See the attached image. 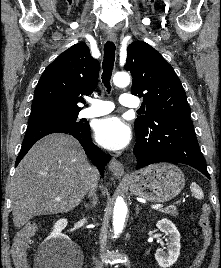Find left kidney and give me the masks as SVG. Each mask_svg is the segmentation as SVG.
<instances>
[{
	"mask_svg": "<svg viewBox=\"0 0 221 268\" xmlns=\"http://www.w3.org/2000/svg\"><path fill=\"white\" fill-rule=\"evenodd\" d=\"M156 226L168 238H166L167 250L157 249L155 259L161 268H168L177 261L180 255V233L174 223L168 219L158 221Z\"/></svg>",
	"mask_w": 221,
	"mask_h": 268,
	"instance_id": "left-kidney-1",
	"label": "left kidney"
}]
</instances>
